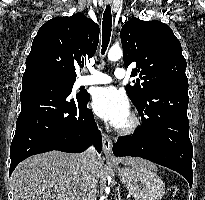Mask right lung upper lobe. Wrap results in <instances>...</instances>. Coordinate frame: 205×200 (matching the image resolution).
<instances>
[{
    "label": "right lung upper lobe",
    "mask_w": 205,
    "mask_h": 200,
    "mask_svg": "<svg viewBox=\"0 0 205 200\" xmlns=\"http://www.w3.org/2000/svg\"><path fill=\"white\" fill-rule=\"evenodd\" d=\"M98 42L99 26L83 13L52 18L33 40L23 78L55 75L76 80V67L95 54Z\"/></svg>",
    "instance_id": "1"
}]
</instances>
